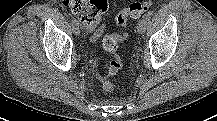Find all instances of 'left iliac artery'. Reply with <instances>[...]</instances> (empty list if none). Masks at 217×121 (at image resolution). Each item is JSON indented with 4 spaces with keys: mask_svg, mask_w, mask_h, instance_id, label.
<instances>
[{
    "mask_svg": "<svg viewBox=\"0 0 217 121\" xmlns=\"http://www.w3.org/2000/svg\"><path fill=\"white\" fill-rule=\"evenodd\" d=\"M150 18H151V13H147V14H145V15L143 16V19H144L145 21H149Z\"/></svg>",
    "mask_w": 217,
    "mask_h": 121,
    "instance_id": "44dca946",
    "label": "left iliac artery"
}]
</instances>
